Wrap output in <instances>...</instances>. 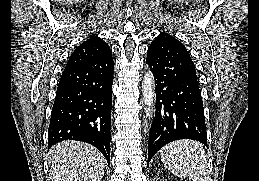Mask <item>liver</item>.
Instances as JSON below:
<instances>
[{"label":"liver","mask_w":259,"mask_h":181,"mask_svg":"<svg viewBox=\"0 0 259 181\" xmlns=\"http://www.w3.org/2000/svg\"><path fill=\"white\" fill-rule=\"evenodd\" d=\"M51 181H101L105 158L93 146L79 141H63L48 154Z\"/></svg>","instance_id":"1"}]
</instances>
